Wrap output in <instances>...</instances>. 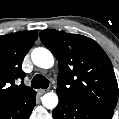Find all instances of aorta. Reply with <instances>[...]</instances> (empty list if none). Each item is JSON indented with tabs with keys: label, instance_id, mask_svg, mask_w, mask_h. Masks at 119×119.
<instances>
[{
	"label": "aorta",
	"instance_id": "obj_1",
	"mask_svg": "<svg viewBox=\"0 0 119 119\" xmlns=\"http://www.w3.org/2000/svg\"><path fill=\"white\" fill-rule=\"evenodd\" d=\"M33 63L44 69H49L54 65L52 53L43 47L35 48L31 53ZM42 104L47 109H54L58 104V96L54 92H48L42 97Z\"/></svg>",
	"mask_w": 119,
	"mask_h": 119
}]
</instances>
